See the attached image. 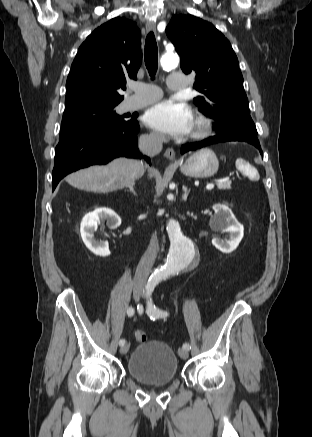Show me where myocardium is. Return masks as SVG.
<instances>
[{"label":"myocardium","mask_w":312,"mask_h":437,"mask_svg":"<svg viewBox=\"0 0 312 437\" xmlns=\"http://www.w3.org/2000/svg\"><path fill=\"white\" fill-rule=\"evenodd\" d=\"M213 128V122L205 115H197L194 121V129L190 135L192 140H200L207 137Z\"/></svg>","instance_id":"1"}]
</instances>
